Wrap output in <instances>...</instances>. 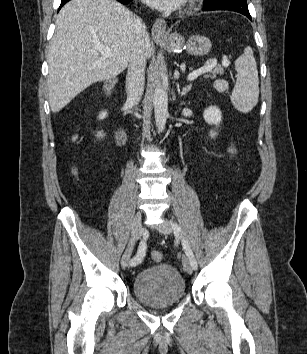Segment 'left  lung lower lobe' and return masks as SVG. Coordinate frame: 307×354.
<instances>
[{
    "label": "left lung lower lobe",
    "instance_id": "obj_1",
    "mask_svg": "<svg viewBox=\"0 0 307 354\" xmlns=\"http://www.w3.org/2000/svg\"><path fill=\"white\" fill-rule=\"evenodd\" d=\"M204 11H212V10H229V11H235L239 12L246 17H248L250 20L251 16L248 11V6L247 4L243 3H235V4H227V3H218V4H211L208 6H204Z\"/></svg>",
    "mask_w": 307,
    "mask_h": 354
}]
</instances>
